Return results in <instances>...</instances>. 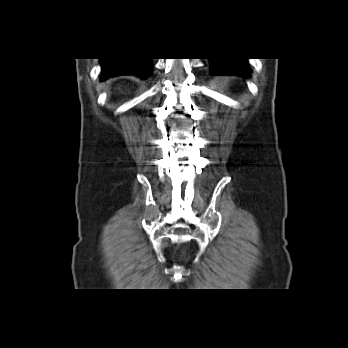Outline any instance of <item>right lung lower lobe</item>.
Returning <instances> with one entry per match:
<instances>
[{
    "label": "right lung lower lobe",
    "mask_w": 348,
    "mask_h": 348,
    "mask_svg": "<svg viewBox=\"0 0 348 348\" xmlns=\"http://www.w3.org/2000/svg\"><path fill=\"white\" fill-rule=\"evenodd\" d=\"M102 60L101 80L122 74H136L145 71L150 74L152 71L151 58H107Z\"/></svg>",
    "instance_id": "98d812e1"
}]
</instances>
